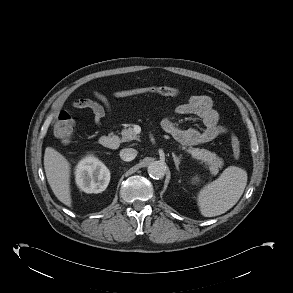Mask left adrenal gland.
<instances>
[{"label":"left adrenal gland","instance_id":"obj_1","mask_svg":"<svg viewBox=\"0 0 293 293\" xmlns=\"http://www.w3.org/2000/svg\"><path fill=\"white\" fill-rule=\"evenodd\" d=\"M172 157H173V160H174V163H175V166H176V169L179 171V165L181 163V158L182 156L180 155L179 157H177L175 155V153H172Z\"/></svg>","mask_w":293,"mask_h":293}]
</instances>
